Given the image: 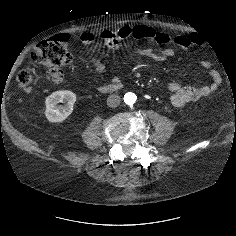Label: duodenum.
Wrapping results in <instances>:
<instances>
[{"label": "duodenum", "instance_id": "1", "mask_svg": "<svg viewBox=\"0 0 236 236\" xmlns=\"http://www.w3.org/2000/svg\"><path fill=\"white\" fill-rule=\"evenodd\" d=\"M122 84L119 81H114L110 84H104L99 86V91L102 93H112L121 88Z\"/></svg>", "mask_w": 236, "mask_h": 236}]
</instances>
